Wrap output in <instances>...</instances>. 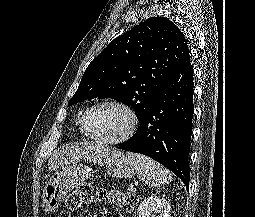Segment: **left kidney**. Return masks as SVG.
Masks as SVG:
<instances>
[{
  "label": "left kidney",
  "mask_w": 255,
  "mask_h": 217,
  "mask_svg": "<svg viewBox=\"0 0 255 217\" xmlns=\"http://www.w3.org/2000/svg\"><path fill=\"white\" fill-rule=\"evenodd\" d=\"M138 217H170V204L165 199L148 197L139 205Z\"/></svg>",
  "instance_id": "5707ae66"
}]
</instances>
